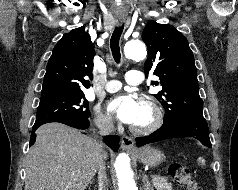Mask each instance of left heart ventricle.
Segmentation results:
<instances>
[{
	"label": "left heart ventricle",
	"instance_id": "b2bd125f",
	"mask_svg": "<svg viewBox=\"0 0 238 190\" xmlns=\"http://www.w3.org/2000/svg\"><path fill=\"white\" fill-rule=\"evenodd\" d=\"M150 120H151L150 110L145 105L139 102L138 114L135 121L132 123V125L144 126L148 124Z\"/></svg>",
	"mask_w": 238,
	"mask_h": 190
}]
</instances>
